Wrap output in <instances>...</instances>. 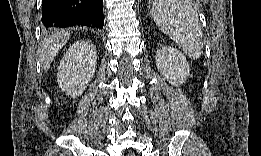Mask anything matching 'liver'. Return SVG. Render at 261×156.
Returning a JSON list of instances; mask_svg holds the SVG:
<instances>
[{
	"instance_id": "obj_1",
	"label": "liver",
	"mask_w": 261,
	"mask_h": 156,
	"mask_svg": "<svg viewBox=\"0 0 261 156\" xmlns=\"http://www.w3.org/2000/svg\"><path fill=\"white\" fill-rule=\"evenodd\" d=\"M70 37V31H59L44 40L40 49L42 68L47 71L56 54L62 49Z\"/></svg>"
}]
</instances>
